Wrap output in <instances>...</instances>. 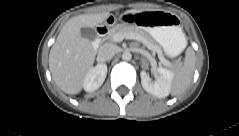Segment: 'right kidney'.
I'll return each mask as SVG.
<instances>
[{"mask_svg": "<svg viewBox=\"0 0 239 136\" xmlns=\"http://www.w3.org/2000/svg\"><path fill=\"white\" fill-rule=\"evenodd\" d=\"M107 75L106 64L100 63L92 67L86 74L83 81V88L86 92H94L101 87Z\"/></svg>", "mask_w": 239, "mask_h": 136, "instance_id": "1", "label": "right kidney"}]
</instances>
